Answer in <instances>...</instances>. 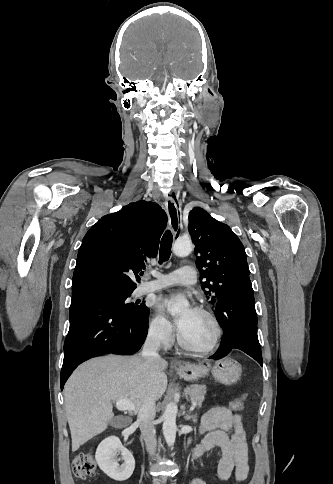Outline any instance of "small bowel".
<instances>
[{"instance_id":"1","label":"small bowel","mask_w":333,"mask_h":484,"mask_svg":"<svg viewBox=\"0 0 333 484\" xmlns=\"http://www.w3.org/2000/svg\"><path fill=\"white\" fill-rule=\"evenodd\" d=\"M200 431L207 432L193 452L196 459L205 452L218 447L221 458L218 463V476L222 481L232 474L239 482L246 479L249 472L246 430L242 416L226 406H217L206 412L201 420ZM190 484H206L202 479H194Z\"/></svg>"}]
</instances>
